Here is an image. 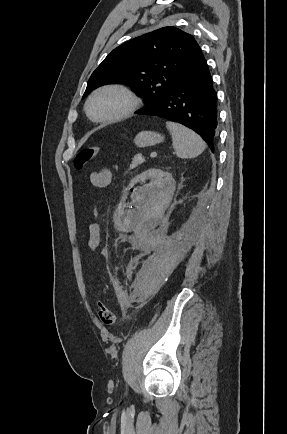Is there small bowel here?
<instances>
[{
	"label": "small bowel",
	"instance_id": "small-bowel-1",
	"mask_svg": "<svg viewBox=\"0 0 287 434\" xmlns=\"http://www.w3.org/2000/svg\"><path fill=\"white\" fill-rule=\"evenodd\" d=\"M113 178V174L109 169H101L91 173L90 182L91 184L98 188L104 189L107 187ZM94 214L97 215L98 211L95 207L93 210ZM101 244V228L98 223L93 222L88 227V246L92 250H96L99 248Z\"/></svg>",
	"mask_w": 287,
	"mask_h": 434
}]
</instances>
